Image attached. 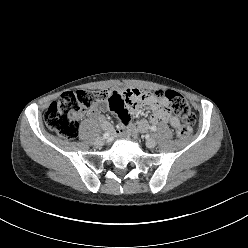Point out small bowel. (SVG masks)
<instances>
[{
	"instance_id": "obj_1",
	"label": "small bowel",
	"mask_w": 248,
	"mask_h": 248,
	"mask_svg": "<svg viewBox=\"0 0 248 248\" xmlns=\"http://www.w3.org/2000/svg\"><path fill=\"white\" fill-rule=\"evenodd\" d=\"M107 93L109 94L108 100L103 101L87 113L90 117L98 118L101 126L107 132H113V126L107 118L100 115L101 111L110 109L114 112L121 121L119 130L123 132L130 125V116L142 103L149 105L151 109V123H169L173 128L179 127L178 118L168 111V101L160 95H152L137 88H126L124 84H119L114 88L110 87ZM149 126L150 122L142 119L138 122L137 129L144 132L148 130Z\"/></svg>"
}]
</instances>
